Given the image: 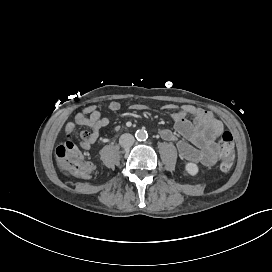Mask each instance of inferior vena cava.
I'll return each mask as SVG.
<instances>
[{"label":"inferior vena cava","instance_id":"obj_1","mask_svg":"<svg viewBox=\"0 0 272 272\" xmlns=\"http://www.w3.org/2000/svg\"><path fill=\"white\" fill-rule=\"evenodd\" d=\"M135 139L132 134L124 133L119 138V144L124 148H129L133 145Z\"/></svg>","mask_w":272,"mask_h":272}]
</instances>
